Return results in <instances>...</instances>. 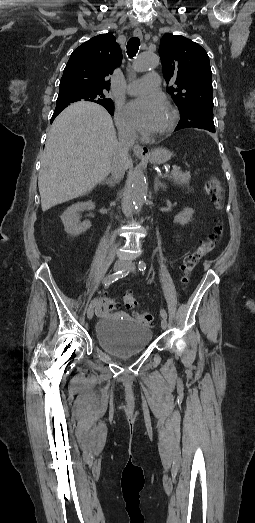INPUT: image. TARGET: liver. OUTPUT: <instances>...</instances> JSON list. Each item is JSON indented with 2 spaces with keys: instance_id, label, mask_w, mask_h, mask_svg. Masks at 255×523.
I'll list each match as a JSON object with an SVG mask.
<instances>
[{
  "instance_id": "obj_1",
  "label": "liver",
  "mask_w": 255,
  "mask_h": 523,
  "mask_svg": "<svg viewBox=\"0 0 255 523\" xmlns=\"http://www.w3.org/2000/svg\"><path fill=\"white\" fill-rule=\"evenodd\" d=\"M117 146L112 118L105 108L76 102L63 110L48 132L41 158L42 212L79 198L103 182L111 172Z\"/></svg>"
}]
</instances>
